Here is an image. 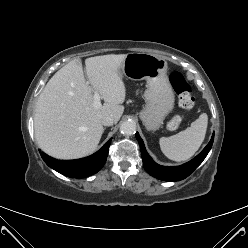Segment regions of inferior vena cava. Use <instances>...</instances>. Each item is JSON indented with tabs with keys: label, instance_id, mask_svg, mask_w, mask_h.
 Here are the masks:
<instances>
[{
	"label": "inferior vena cava",
	"instance_id": "1",
	"mask_svg": "<svg viewBox=\"0 0 248 248\" xmlns=\"http://www.w3.org/2000/svg\"><path fill=\"white\" fill-rule=\"evenodd\" d=\"M115 122L114 118L112 116H105L102 118L101 123L104 126H111Z\"/></svg>",
	"mask_w": 248,
	"mask_h": 248
}]
</instances>
